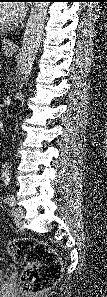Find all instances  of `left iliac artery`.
<instances>
[{"label":"left iliac artery","instance_id":"44dca946","mask_svg":"<svg viewBox=\"0 0 107 297\" xmlns=\"http://www.w3.org/2000/svg\"><path fill=\"white\" fill-rule=\"evenodd\" d=\"M5 202L10 206L13 207L15 206V197L13 195H7L5 197Z\"/></svg>","mask_w":107,"mask_h":297}]
</instances>
